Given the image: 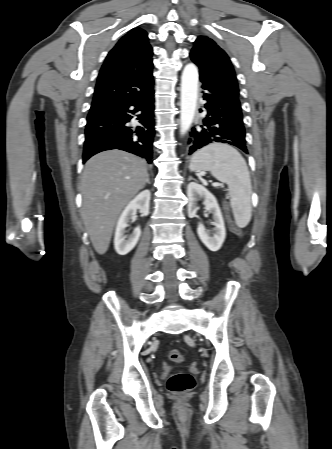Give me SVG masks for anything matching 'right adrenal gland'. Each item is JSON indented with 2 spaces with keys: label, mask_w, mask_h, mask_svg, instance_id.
<instances>
[{
  "label": "right adrenal gland",
  "mask_w": 332,
  "mask_h": 449,
  "mask_svg": "<svg viewBox=\"0 0 332 449\" xmlns=\"http://www.w3.org/2000/svg\"><path fill=\"white\" fill-rule=\"evenodd\" d=\"M146 183H147V184H150L149 175H148V177H147Z\"/></svg>",
  "instance_id": "1"
}]
</instances>
